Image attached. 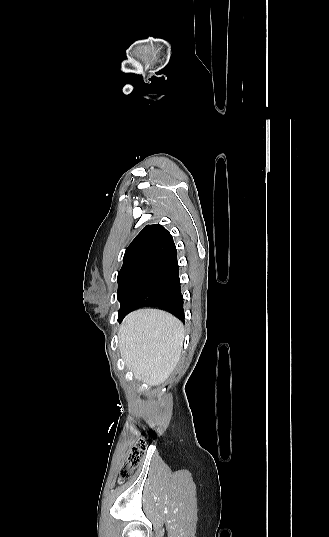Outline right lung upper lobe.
<instances>
[{"mask_svg": "<svg viewBox=\"0 0 329 537\" xmlns=\"http://www.w3.org/2000/svg\"><path fill=\"white\" fill-rule=\"evenodd\" d=\"M174 248L173 238L163 226L147 225L126 249L123 266L138 262L149 264Z\"/></svg>", "mask_w": 329, "mask_h": 537, "instance_id": "cb5924a9", "label": "right lung upper lobe"}]
</instances>
